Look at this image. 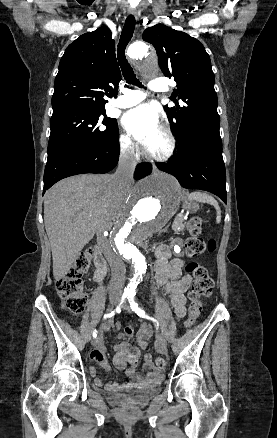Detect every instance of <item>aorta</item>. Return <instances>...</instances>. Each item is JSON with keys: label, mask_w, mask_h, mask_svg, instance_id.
Instances as JSON below:
<instances>
[{"label": "aorta", "mask_w": 277, "mask_h": 438, "mask_svg": "<svg viewBox=\"0 0 277 438\" xmlns=\"http://www.w3.org/2000/svg\"><path fill=\"white\" fill-rule=\"evenodd\" d=\"M133 59L146 58L143 70L149 75L158 72L157 58L141 42L128 48ZM179 203V185L172 176L155 173L139 181L132 189L126 205L110 233V241L119 256L132 263L135 274L126 292H135L146 272L145 256L140 251L142 243L162 229L175 214Z\"/></svg>", "instance_id": "1"}]
</instances>
